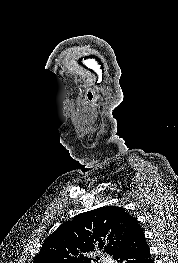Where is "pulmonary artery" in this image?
<instances>
[{"label":"pulmonary artery","mask_w":178,"mask_h":263,"mask_svg":"<svg viewBox=\"0 0 178 263\" xmlns=\"http://www.w3.org/2000/svg\"><path fill=\"white\" fill-rule=\"evenodd\" d=\"M113 261L110 258L102 257V263H112Z\"/></svg>","instance_id":"1"}]
</instances>
